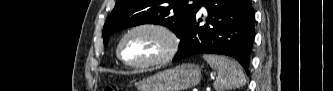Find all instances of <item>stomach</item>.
Segmentation results:
<instances>
[{
	"label": "stomach",
	"instance_id": "1",
	"mask_svg": "<svg viewBox=\"0 0 333 91\" xmlns=\"http://www.w3.org/2000/svg\"><path fill=\"white\" fill-rule=\"evenodd\" d=\"M201 80V69L191 63L159 71L139 81V91H184L196 86Z\"/></svg>",
	"mask_w": 333,
	"mask_h": 91
}]
</instances>
